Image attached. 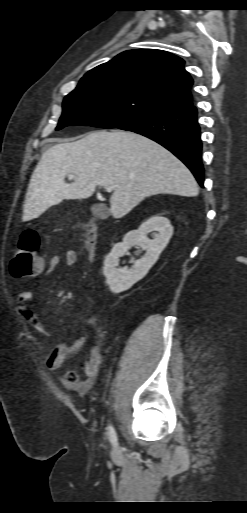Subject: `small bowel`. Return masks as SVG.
I'll use <instances>...</instances> for the list:
<instances>
[{"label": "small bowel", "instance_id": "1", "mask_svg": "<svg viewBox=\"0 0 247 513\" xmlns=\"http://www.w3.org/2000/svg\"><path fill=\"white\" fill-rule=\"evenodd\" d=\"M78 262V254L74 250L64 252V264L68 267L75 266ZM60 264V257L53 255L50 257L47 265H42L40 273H53ZM32 290L24 288L17 301V308L23 318L32 326V328L45 339L52 337V331L49 326L40 319L30 307ZM91 318L87 319L90 322ZM89 346L88 353L79 368H72L62 375V382L66 388L78 389L88 386L97 374L100 364L102 351L99 345L91 343L87 337H82L71 342H59L52 346L50 352L45 358V366L51 371H58L65 364L70 355L77 354L83 347Z\"/></svg>", "mask_w": 247, "mask_h": 513}]
</instances>
